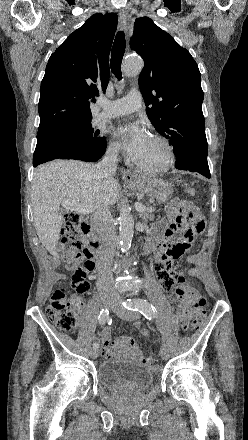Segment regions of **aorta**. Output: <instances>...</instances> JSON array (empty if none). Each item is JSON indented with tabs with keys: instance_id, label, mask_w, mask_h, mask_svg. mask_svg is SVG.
<instances>
[{
	"instance_id": "762f6f07",
	"label": "aorta",
	"mask_w": 248,
	"mask_h": 440,
	"mask_svg": "<svg viewBox=\"0 0 248 440\" xmlns=\"http://www.w3.org/2000/svg\"><path fill=\"white\" fill-rule=\"evenodd\" d=\"M144 63L140 57L130 56L126 58L122 64V70L126 77H135L143 69ZM119 221V237L122 252L130 249L134 234V219L127 206L120 210Z\"/></svg>"
}]
</instances>
